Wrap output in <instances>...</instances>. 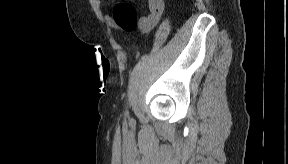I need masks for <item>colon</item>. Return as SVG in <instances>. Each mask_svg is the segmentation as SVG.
<instances>
[{
    "label": "colon",
    "instance_id": "colon-1",
    "mask_svg": "<svg viewBox=\"0 0 288 164\" xmlns=\"http://www.w3.org/2000/svg\"><path fill=\"white\" fill-rule=\"evenodd\" d=\"M150 14L152 17H158L160 15V10L151 7ZM113 19L122 29L127 32H135L138 26V14L136 9L126 2L119 3L113 9ZM144 19H147L145 17ZM144 28L149 29V24H144Z\"/></svg>",
    "mask_w": 288,
    "mask_h": 164
}]
</instances>
